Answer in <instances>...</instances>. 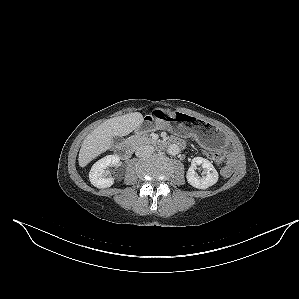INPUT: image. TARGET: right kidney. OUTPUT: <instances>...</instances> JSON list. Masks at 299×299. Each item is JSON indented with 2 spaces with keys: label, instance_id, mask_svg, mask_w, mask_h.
I'll return each mask as SVG.
<instances>
[{
  "label": "right kidney",
  "instance_id": "1",
  "mask_svg": "<svg viewBox=\"0 0 299 299\" xmlns=\"http://www.w3.org/2000/svg\"><path fill=\"white\" fill-rule=\"evenodd\" d=\"M120 158L117 155H107L98 160L89 172V180L97 188H107L114 184V178L109 176L105 169L109 166H118Z\"/></svg>",
  "mask_w": 299,
  "mask_h": 299
}]
</instances>
